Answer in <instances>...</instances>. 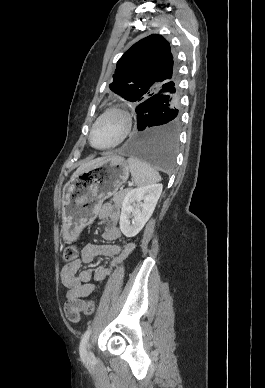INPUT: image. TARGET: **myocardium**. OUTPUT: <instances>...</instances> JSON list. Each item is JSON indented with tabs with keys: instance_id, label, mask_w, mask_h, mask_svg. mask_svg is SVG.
<instances>
[{
	"instance_id": "1",
	"label": "myocardium",
	"mask_w": 265,
	"mask_h": 388,
	"mask_svg": "<svg viewBox=\"0 0 265 388\" xmlns=\"http://www.w3.org/2000/svg\"><path fill=\"white\" fill-rule=\"evenodd\" d=\"M109 114H115V115H118L121 118V123L122 124H121V128H120V132H119V135H118L117 139L113 143L108 144V145H103V146H100L98 148H101V149L114 148V147L120 145L127 138V135L129 133V130H130L131 125H132V120H131L130 114L126 110H124V109H121V108H118V107H111V108H108L107 110H105L97 118V120L94 122V124L92 126V129H91V131L89 133V141H90V143L94 147H97V146H95L93 144V133H94V130H95L96 126L99 124V122L104 117H106Z\"/></svg>"
}]
</instances>
